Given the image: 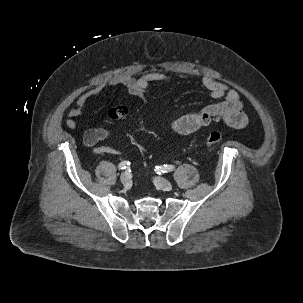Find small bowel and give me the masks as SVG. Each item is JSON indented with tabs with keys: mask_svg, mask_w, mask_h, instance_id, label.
<instances>
[{
	"mask_svg": "<svg viewBox=\"0 0 303 303\" xmlns=\"http://www.w3.org/2000/svg\"><path fill=\"white\" fill-rule=\"evenodd\" d=\"M169 81V77L164 74L149 72L138 78L119 75L110 81V85L125 90L146 103V92L151 86L167 84ZM202 85L214 101L200 109L179 114L171 125L174 132L179 135H189L217 121H222L235 129H243L247 126L248 118L243 111V103L236 90L210 77L203 78ZM101 91V86H95L79 95L75 106L68 111V118L65 121L67 128L75 129L77 127L76 118L82 114L88 100L100 94ZM110 134L111 130L108 127L91 128L84 133L83 143L98 155L118 154L117 149L98 145Z\"/></svg>",
	"mask_w": 303,
	"mask_h": 303,
	"instance_id": "obj_1",
	"label": "small bowel"
}]
</instances>
